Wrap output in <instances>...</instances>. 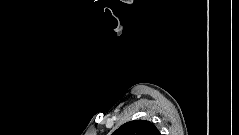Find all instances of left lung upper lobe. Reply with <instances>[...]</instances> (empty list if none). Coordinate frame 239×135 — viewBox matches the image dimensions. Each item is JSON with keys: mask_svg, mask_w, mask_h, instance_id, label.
I'll use <instances>...</instances> for the list:
<instances>
[{"mask_svg": "<svg viewBox=\"0 0 239 135\" xmlns=\"http://www.w3.org/2000/svg\"><path fill=\"white\" fill-rule=\"evenodd\" d=\"M112 135H160V132L149 121L133 120L120 126Z\"/></svg>", "mask_w": 239, "mask_h": 135, "instance_id": "left-lung-upper-lobe-1", "label": "left lung upper lobe"}]
</instances>
